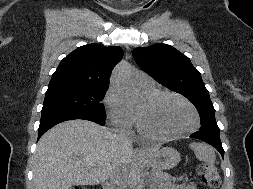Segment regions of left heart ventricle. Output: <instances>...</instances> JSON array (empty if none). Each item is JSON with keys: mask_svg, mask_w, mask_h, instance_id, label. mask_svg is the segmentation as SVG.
<instances>
[{"mask_svg": "<svg viewBox=\"0 0 253 189\" xmlns=\"http://www.w3.org/2000/svg\"><path fill=\"white\" fill-rule=\"evenodd\" d=\"M138 113L148 130L161 135L184 131L194 123L191 109L173 97H163L153 105L145 102Z\"/></svg>", "mask_w": 253, "mask_h": 189, "instance_id": "1", "label": "left heart ventricle"}]
</instances>
